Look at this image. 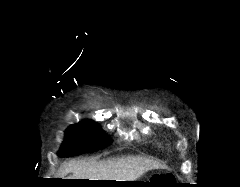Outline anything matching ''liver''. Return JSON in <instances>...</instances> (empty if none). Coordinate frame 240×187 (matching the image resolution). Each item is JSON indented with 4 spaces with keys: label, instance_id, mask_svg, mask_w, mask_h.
<instances>
[{
    "label": "liver",
    "instance_id": "liver-1",
    "mask_svg": "<svg viewBox=\"0 0 240 187\" xmlns=\"http://www.w3.org/2000/svg\"><path fill=\"white\" fill-rule=\"evenodd\" d=\"M161 165L141 156H128L87 162L85 160H71L60 168L61 178L72 173L69 179L135 181L145 172L158 169Z\"/></svg>",
    "mask_w": 240,
    "mask_h": 187
}]
</instances>
